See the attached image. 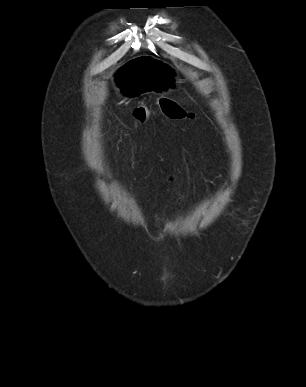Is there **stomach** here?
<instances>
[{
  "label": "stomach",
  "mask_w": 306,
  "mask_h": 387,
  "mask_svg": "<svg viewBox=\"0 0 306 387\" xmlns=\"http://www.w3.org/2000/svg\"><path fill=\"white\" fill-rule=\"evenodd\" d=\"M142 50L149 53L151 49L144 46ZM167 65V59H156V55H133V61H128L118 75H114V82L127 97L148 95L149 91H158L174 79V72Z\"/></svg>",
  "instance_id": "1"
}]
</instances>
